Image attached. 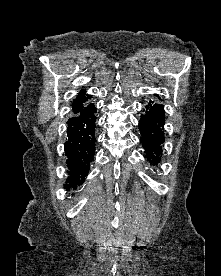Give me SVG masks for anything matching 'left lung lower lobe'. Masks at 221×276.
Segmentation results:
<instances>
[{
  "label": "left lung lower lobe",
  "mask_w": 221,
  "mask_h": 276,
  "mask_svg": "<svg viewBox=\"0 0 221 276\" xmlns=\"http://www.w3.org/2000/svg\"><path fill=\"white\" fill-rule=\"evenodd\" d=\"M143 112L139 120L140 141L145 149L147 160L157 165L160 162L164 143V107L150 101Z\"/></svg>",
  "instance_id": "0a47b994"
}]
</instances>
